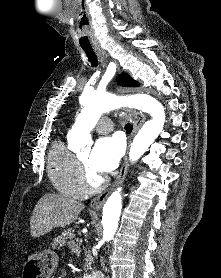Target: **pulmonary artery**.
I'll return each mask as SVG.
<instances>
[{"label":"pulmonary artery","mask_w":221,"mask_h":278,"mask_svg":"<svg viewBox=\"0 0 221 278\" xmlns=\"http://www.w3.org/2000/svg\"><path fill=\"white\" fill-rule=\"evenodd\" d=\"M113 123L108 118H103L99 121L96 126V130L98 133H107L112 130Z\"/></svg>","instance_id":"pulmonary-artery-1"}]
</instances>
